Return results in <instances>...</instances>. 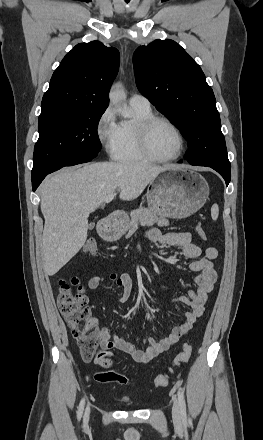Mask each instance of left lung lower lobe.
Returning a JSON list of instances; mask_svg holds the SVG:
<instances>
[{
	"instance_id": "0a47b994",
	"label": "left lung lower lobe",
	"mask_w": 263,
	"mask_h": 440,
	"mask_svg": "<svg viewBox=\"0 0 263 440\" xmlns=\"http://www.w3.org/2000/svg\"><path fill=\"white\" fill-rule=\"evenodd\" d=\"M216 170L225 180L226 185L229 184L231 179V168H224V167H216V166H208Z\"/></svg>"
}]
</instances>
